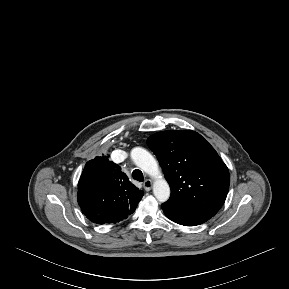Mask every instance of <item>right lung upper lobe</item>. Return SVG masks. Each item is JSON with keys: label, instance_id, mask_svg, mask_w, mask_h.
Here are the masks:
<instances>
[{"label": "right lung upper lobe", "instance_id": "right-lung-upper-lobe-1", "mask_svg": "<svg viewBox=\"0 0 289 289\" xmlns=\"http://www.w3.org/2000/svg\"><path fill=\"white\" fill-rule=\"evenodd\" d=\"M108 156L86 163L78 182V204L94 223H116L133 213L143 197Z\"/></svg>", "mask_w": 289, "mask_h": 289}]
</instances>
